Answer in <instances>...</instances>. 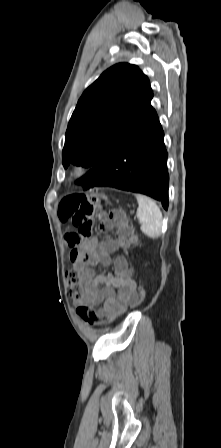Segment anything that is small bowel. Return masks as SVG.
I'll return each instance as SVG.
<instances>
[{
    "label": "small bowel",
    "mask_w": 221,
    "mask_h": 448,
    "mask_svg": "<svg viewBox=\"0 0 221 448\" xmlns=\"http://www.w3.org/2000/svg\"><path fill=\"white\" fill-rule=\"evenodd\" d=\"M105 230L113 233L111 238L97 243L94 239H81L76 231H68L64 241L70 247L69 258L73 267L88 280L77 303L90 307L96 313L98 323L104 318L117 317L136 300V283L125 257L114 260L110 254L118 249H128L138 241V236L126 225H110V217L102 214ZM90 255V261L84 257ZM101 264L114 268V275L93 276L90 266Z\"/></svg>",
    "instance_id": "1"
}]
</instances>
